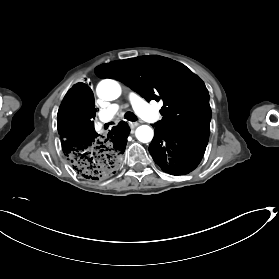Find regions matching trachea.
Masks as SVG:
<instances>
[{"instance_id": "1", "label": "trachea", "mask_w": 279, "mask_h": 279, "mask_svg": "<svg viewBox=\"0 0 279 279\" xmlns=\"http://www.w3.org/2000/svg\"><path fill=\"white\" fill-rule=\"evenodd\" d=\"M125 118L129 121H132V122L137 120V117L133 112H126L125 113Z\"/></svg>"}]
</instances>
